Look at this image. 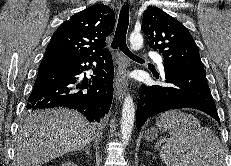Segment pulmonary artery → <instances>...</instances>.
Listing matches in <instances>:
<instances>
[{
    "instance_id": "obj_1",
    "label": "pulmonary artery",
    "mask_w": 231,
    "mask_h": 166,
    "mask_svg": "<svg viewBox=\"0 0 231 166\" xmlns=\"http://www.w3.org/2000/svg\"><path fill=\"white\" fill-rule=\"evenodd\" d=\"M149 56H150L151 58H153V59L157 62V64L159 65V67H160L161 70L163 71L164 67H163L162 59L160 58V56H159L158 54H156V53H153V52H150V53H149Z\"/></svg>"
}]
</instances>
